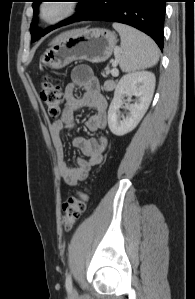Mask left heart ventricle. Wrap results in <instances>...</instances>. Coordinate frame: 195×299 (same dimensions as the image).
Segmentation results:
<instances>
[{
  "mask_svg": "<svg viewBox=\"0 0 195 299\" xmlns=\"http://www.w3.org/2000/svg\"><path fill=\"white\" fill-rule=\"evenodd\" d=\"M61 11H62V8L60 7L59 4L52 3L46 7L44 14H45L46 18L53 19V18L57 17L61 13Z\"/></svg>",
  "mask_w": 195,
  "mask_h": 299,
  "instance_id": "1",
  "label": "left heart ventricle"
}]
</instances>
